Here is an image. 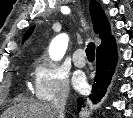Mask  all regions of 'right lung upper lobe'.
Segmentation results:
<instances>
[{"mask_svg":"<svg viewBox=\"0 0 133 118\" xmlns=\"http://www.w3.org/2000/svg\"><path fill=\"white\" fill-rule=\"evenodd\" d=\"M90 14L92 18L93 28L95 33H99V37L102 42L98 48L103 47L104 45L111 42L114 37L111 35L110 26L106 19V16L99 5V3L95 0H91L90 2ZM34 26H32L24 35L23 41H25L32 33ZM97 48V49H98Z\"/></svg>","mask_w":133,"mask_h":118,"instance_id":"obj_1","label":"right lung upper lobe"}]
</instances>
